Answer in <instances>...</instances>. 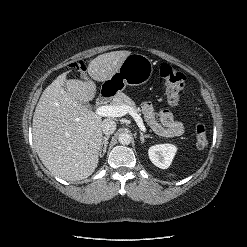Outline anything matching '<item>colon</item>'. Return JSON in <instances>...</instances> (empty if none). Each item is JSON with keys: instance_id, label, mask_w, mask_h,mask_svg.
Masks as SVG:
<instances>
[{"instance_id": "colon-1", "label": "colon", "mask_w": 247, "mask_h": 247, "mask_svg": "<svg viewBox=\"0 0 247 247\" xmlns=\"http://www.w3.org/2000/svg\"><path fill=\"white\" fill-rule=\"evenodd\" d=\"M80 72L85 71L83 62H77L72 65ZM160 77L163 79L166 87V97L170 104H177L185 87V76L169 64H163L160 67ZM195 142L199 149H203L208 144L207 131L204 124L199 123L195 127Z\"/></svg>"}]
</instances>
